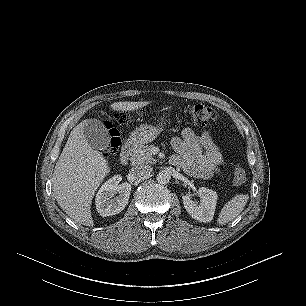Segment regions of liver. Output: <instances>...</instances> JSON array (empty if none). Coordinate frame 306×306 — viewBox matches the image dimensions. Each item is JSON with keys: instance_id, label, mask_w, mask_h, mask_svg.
<instances>
[{"instance_id": "1", "label": "liver", "mask_w": 306, "mask_h": 306, "mask_svg": "<svg viewBox=\"0 0 306 306\" xmlns=\"http://www.w3.org/2000/svg\"><path fill=\"white\" fill-rule=\"evenodd\" d=\"M149 102H116L114 111H134ZM84 120L73 128L53 173V193L64 212L74 221L92 227L91 203L101 182L109 173L102 153L94 150L84 137Z\"/></svg>"}]
</instances>
